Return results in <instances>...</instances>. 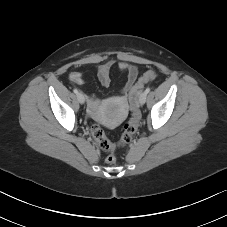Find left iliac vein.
<instances>
[{
    "label": "left iliac vein",
    "mask_w": 227,
    "mask_h": 227,
    "mask_svg": "<svg viewBox=\"0 0 227 227\" xmlns=\"http://www.w3.org/2000/svg\"><path fill=\"white\" fill-rule=\"evenodd\" d=\"M147 94L142 92L139 96V104L143 105L146 102Z\"/></svg>",
    "instance_id": "left-iliac-vein-1"
}]
</instances>
